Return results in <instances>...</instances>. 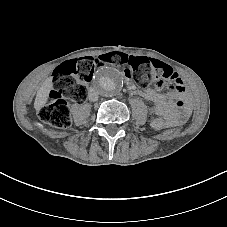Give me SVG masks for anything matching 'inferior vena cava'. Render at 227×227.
Returning <instances> with one entry per match:
<instances>
[{"instance_id": "inferior-vena-cava-1", "label": "inferior vena cava", "mask_w": 227, "mask_h": 227, "mask_svg": "<svg viewBox=\"0 0 227 227\" xmlns=\"http://www.w3.org/2000/svg\"><path fill=\"white\" fill-rule=\"evenodd\" d=\"M99 98V93L94 88H89L88 90V99L91 102L97 101Z\"/></svg>"}]
</instances>
